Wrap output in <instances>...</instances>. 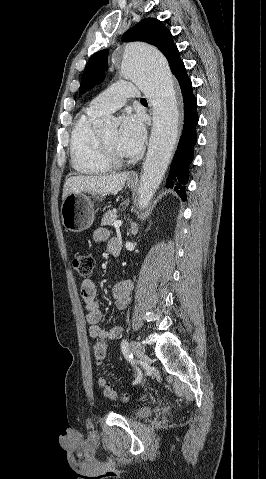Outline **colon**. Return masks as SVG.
Listing matches in <instances>:
<instances>
[{"label":"colon","instance_id":"obj_1","mask_svg":"<svg viewBox=\"0 0 266 479\" xmlns=\"http://www.w3.org/2000/svg\"><path fill=\"white\" fill-rule=\"evenodd\" d=\"M71 262L73 268L76 270L77 274L80 277L87 278L91 275L93 267H94V258L91 255L82 253V252H74L71 257ZM107 341L104 339L97 340L94 342L92 346L93 354L97 362H101L104 360L106 353H107ZM100 386L103 388L104 396L112 401L118 399V395L115 391L109 388L106 382L101 378L99 380ZM128 396L125 395L123 400L126 401Z\"/></svg>","mask_w":266,"mask_h":479}]
</instances>
